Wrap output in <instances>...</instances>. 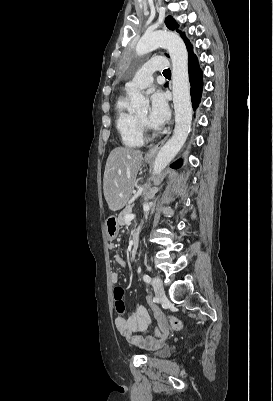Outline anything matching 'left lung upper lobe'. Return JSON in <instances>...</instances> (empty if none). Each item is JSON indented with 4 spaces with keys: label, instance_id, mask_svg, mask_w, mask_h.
Returning <instances> with one entry per match:
<instances>
[{
    "label": "left lung upper lobe",
    "instance_id": "left-lung-upper-lobe-1",
    "mask_svg": "<svg viewBox=\"0 0 273 401\" xmlns=\"http://www.w3.org/2000/svg\"><path fill=\"white\" fill-rule=\"evenodd\" d=\"M165 23H166V26L171 30H175L178 27V25L175 22V20L170 16L166 18ZM177 32H180V31L177 30ZM181 36L183 37V39L185 40L186 45L188 46L190 44V42L187 40V38L185 37L184 34H182Z\"/></svg>",
    "mask_w": 273,
    "mask_h": 401
}]
</instances>
